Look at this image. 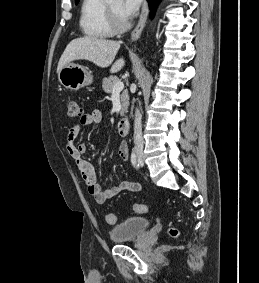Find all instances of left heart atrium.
Here are the masks:
<instances>
[{"label":"left heart atrium","instance_id":"obj_1","mask_svg":"<svg viewBox=\"0 0 259 283\" xmlns=\"http://www.w3.org/2000/svg\"><path fill=\"white\" fill-rule=\"evenodd\" d=\"M142 0H123L121 4V14L128 18L139 8Z\"/></svg>","mask_w":259,"mask_h":283}]
</instances>
